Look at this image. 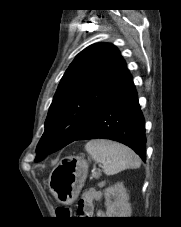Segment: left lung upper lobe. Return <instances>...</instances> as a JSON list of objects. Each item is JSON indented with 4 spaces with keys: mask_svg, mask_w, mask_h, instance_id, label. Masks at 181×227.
<instances>
[{
    "mask_svg": "<svg viewBox=\"0 0 181 227\" xmlns=\"http://www.w3.org/2000/svg\"><path fill=\"white\" fill-rule=\"evenodd\" d=\"M130 76L117 48L93 44L66 70L49 108L35 161L75 141L98 107Z\"/></svg>",
    "mask_w": 181,
    "mask_h": 227,
    "instance_id": "left-lung-upper-lobe-1",
    "label": "left lung upper lobe"
}]
</instances>
